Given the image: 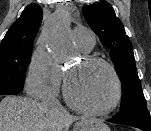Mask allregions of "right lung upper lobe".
<instances>
[{
	"mask_svg": "<svg viewBox=\"0 0 151 131\" xmlns=\"http://www.w3.org/2000/svg\"><path fill=\"white\" fill-rule=\"evenodd\" d=\"M43 18L42 9L35 3L28 5L12 24L1 44L33 45Z\"/></svg>",
	"mask_w": 151,
	"mask_h": 131,
	"instance_id": "right-lung-upper-lobe-1",
	"label": "right lung upper lobe"
}]
</instances>
